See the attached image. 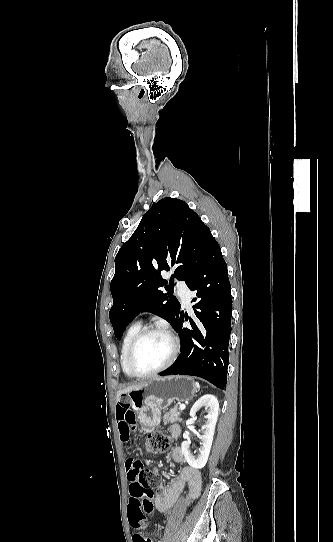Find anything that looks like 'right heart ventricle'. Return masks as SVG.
I'll return each instance as SVG.
<instances>
[{
  "instance_id": "obj_1",
  "label": "right heart ventricle",
  "mask_w": 333,
  "mask_h": 542,
  "mask_svg": "<svg viewBox=\"0 0 333 542\" xmlns=\"http://www.w3.org/2000/svg\"><path fill=\"white\" fill-rule=\"evenodd\" d=\"M142 327H143V324L141 322L133 323L128 328V330L126 331V333L124 335V338H123V341H122L121 355H120V366H121L122 372L127 377L130 376L128 374V371H127V368H126V358H127L128 349H129V346H130L131 342L133 341V339L141 331Z\"/></svg>"
}]
</instances>
